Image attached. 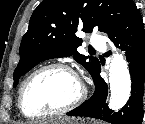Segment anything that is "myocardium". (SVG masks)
<instances>
[{"label": "myocardium", "mask_w": 145, "mask_h": 124, "mask_svg": "<svg viewBox=\"0 0 145 124\" xmlns=\"http://www.w3.org/2000/svg\"><path fill=\"white\" fill-rule=\"evenodd\" d=\"M52 69H60V70L66 71V72L70 73L71 75H73L78 80V82L80 83V86H81V90H80L78 97L75 100H73L71 103H69L68 105H66L58 110H54L51 112L38 113V114L27 113L25 110V107H24V98H25V94H26L28 87L39 74H41L44 71L52 70ZM86 96H87V88H86L85 84L83 83V81L81 80V78L79 77V75L77 74V72L72 67H70L69 65H67L65 63L55 62V63H49V64L39 67L38 69H36L34 72H32L28 76V78L25 80V82L23 83V85L19 91L18 106H19L21 113L26 118L43 119V118L64 115V114L72 111L85 100Z\"/></svg>", "instance_id": "f54148a6"}]
</instances>
